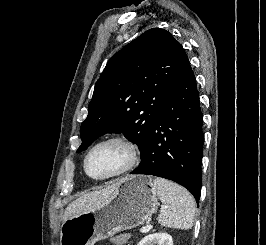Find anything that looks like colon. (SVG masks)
<instances>
[{"label": "colon", "mask_w": 266, "mask_h": 245, "mask_svg": "<svg viewBox=\"0 0 266 245\" xmlns=\"http://www.w3.org/2000/svg\"><path fill=\"white\" fill-rule=\"evenodd\" d=\"M126 238V236L125 235H122V238H121V240H124Z\"/></svg>", "instance_id": "1"}]
</instances>
